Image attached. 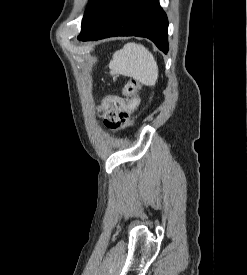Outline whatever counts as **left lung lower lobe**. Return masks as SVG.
I'll return each mask as SVG.
<instances>
[{
	"label": "left lung lower lobe",
	"mask_w": 247,
	"mask_h": 275,
	"mask_svg": "<svg viewBox=\"0 0 247 275\" xmlns=\"http://www.w3.org/2000/svg\"><path fill=\"white\" fill-rule=\"evenodd\" d=\"M168 20L158 0H101L82 24L78 39L146 37L168 51Z\"/></svg>",
	"instance_id": "1"
}]
</instances>
